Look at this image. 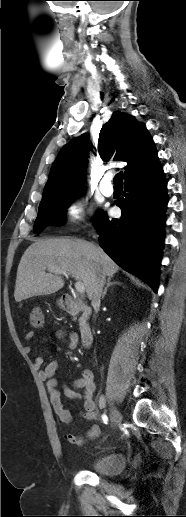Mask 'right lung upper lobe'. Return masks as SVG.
<instances>
[{
  "mask_svg": "<svg viewBox=\"0 0 186 517\" xmlns=\"http://www.w3.org/2000/svg\"><path fill=\"white\" fill-rule=\"evenodd\" d=\"M89 150V137L83 134L71 140L54 161L43 199L82 190ZM98 151L103 161L114 157L127 162L125 181L158 162L153 139L146 126L124 112L113 113L99 134Z\"/></svg>",
  "mask_w": 186,
  "mask_h": 517,
  "instance_id": "cb5924a9",
  "label": "right lung upper lobe"
}]
</instances>
